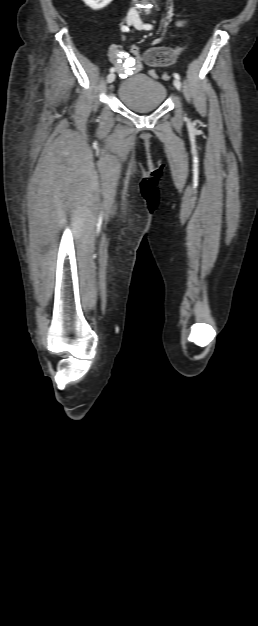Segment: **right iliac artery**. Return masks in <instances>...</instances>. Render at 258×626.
<instances>
[{
  "mask_svg": "<svg viewBox=\"0 0 258 626\" xmlns=\"http://www.w3.org/2000/svg\"><path fill=\"white\" fill-rule=\"evenodd\" d=\"M121 30H122V32H127L128 31V27L123 25L121 27ZM114 71H115V68H113V67L110 68V72H114Z\"/></svg>",
  "mask_w": 258,
  "mask_h": 626,
  "instance_id": "82829eb1",
  "label": "right iliac artery"
}]
</instances>
